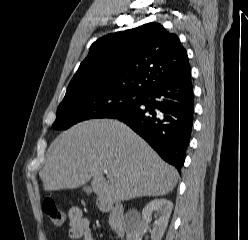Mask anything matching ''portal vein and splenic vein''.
<instances>
[{
  "instance_id": "portal-vein-and-splenic-vein-1",
  "label": "portal vein and splenic vein",
  "mask_w": 248,
  "mask_h": 240,
  "mask_svg": "<svg viewBox=\"0 0 248 240\" xmlns=\"http://www.w3.org/2000/svg\"><path fill=\"white\" fill-rule=\"evenodd\" d=\"M104 173H105V174H108V170H104Z\"/></svg>"
}]
</instances>
